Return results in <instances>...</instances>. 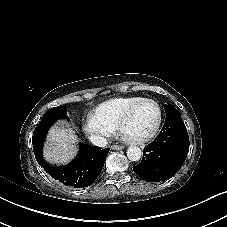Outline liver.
Segmentation results:
<instances>
[{"mask_svg":"<svg viewBox=\"0 0 227 227\" xmlns=\"http://www.w3.org/2000/svg\"><path fill=\"white\" fill-rule=\"evenodd\" d=\"M78 142L73 127L66 121H58L48 132L43 157L52 165H65L76 156Z\"/></svg>","mask_w":227,"mask_h":227,"instance_id":"liver-1","label":"liver"}]
</instances>
